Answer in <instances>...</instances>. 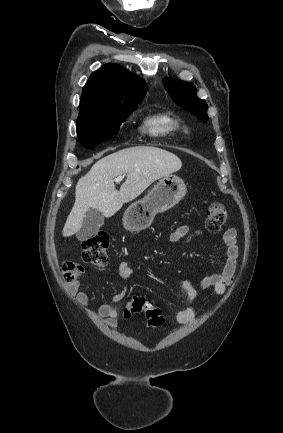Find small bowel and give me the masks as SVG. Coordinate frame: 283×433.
I'll return each instance as SVG.
<instances>
[{
	"label": "small bowel",
	"mask_w": 283,
	"mask_h": 433,
	"mask_svg": "<svg viewBox=\"0 0 283 433\" xmlns=\"http://www.w3.org/2000/svg\"><path fill=\"white\" fill-rule=\"evenodd\" d=\"M201 236V231H191L189 226L184 224L171 232L169 239L171 242H190L191 240L200 238ZM223 242L226 246V255L221 270L204 277L198 285H195L190 281H184L182 283V289L190 300H195L197 298L200 289H211L215 294L222 296L226 293L228 287L235 279L237 258L239 254L236 229H227L223 234ZM117 272L125 285L119 292L112 296V303H117L122 300L126 291V283L134 274L132 267L127 261H121L119 263ZM70 288L78 303L87 307L89 305V297L85 292L80 290V282L78 280L72 282ZM98 314L107 325L114 326L118 312L112 304L104 303L99 307ZM195 315L196 309L193 305H190L178 311L175 319L178 324L187 325L195 319Z\"/></svg>",
	"instance_id": "small-bowel-1"
}]
</instances>
